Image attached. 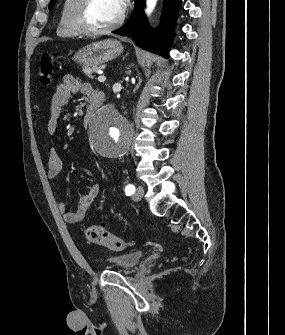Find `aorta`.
Segmentation results:
<instances>
[{
  "label": "aorta",
  "instance_id": "762f6f07",
  "mask_svg": "<svg viewBox=\"0 0 285 335\" xmlns=\"http://www.w3.org/2000/svg\"><path fill=\"white\" fill-rule=\"evenodd\" d=\"M146 4V14H152L157 0H147ZM122 102H129V95H110V100L99 106L100 112H93L86 127V134L92 137L91 147H98V156L105 160H116L123 152H129L133 130L122 119Z\"/></svg>",
  "mask_w": 285,
  "mask_h": 335
}]
</instances>
